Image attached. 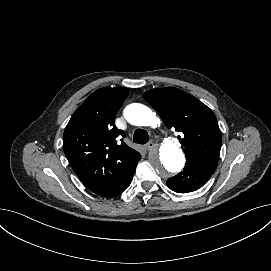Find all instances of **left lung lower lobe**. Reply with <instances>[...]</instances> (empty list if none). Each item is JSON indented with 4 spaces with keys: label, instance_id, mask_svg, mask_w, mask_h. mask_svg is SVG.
<instances>
[{
    "label": "left lung lower lobe",
    "instance_id": "0a47b994",
    "mask_svg": "<svg viewBox=\"0 0 271 271\" xmlns=\"http://www.w3.org/2000/svg\"><path fill=\"white\" fill-rule=\"evenodd\" d=\"M216 167L211 164L201 166L185 165L178 175L167 180V186L177 193H189L201 188L212 176Z\"/></svg>",
    "mask_w": 271,
    "mask_h": 271
}]
</instances>
